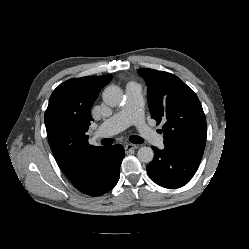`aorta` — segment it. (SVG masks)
Masks as SVG:
<instances>
[{"mask_svg": "<svg viewBox=\"0 0 249 249\" xmlns=\"http://www.w3.org/2000/svg\"><path fill=\"white\" fill-rule=\"evenodd\" d=\"M123 96L124 94L122 89L115 85L108 86L103 92L104 102L111 107L120 105L123 100ZM137 157L139 161L149 163L153 160L154 152L152 148L143 146L139 148Z\"/></svg>", "mask_w": 249, "mask_h": 249, "instance_id": "aorta-1", "label": "aorta"}]
</instances>
